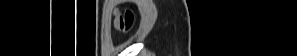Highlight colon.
Instances as JSON below:
<instances>
[{
    "instance_id": "5ec220e1",
    "label": "colon",
    "mask_w": 297,
    "mask_h": 56,
    "mask_svg": "<svg viewBox=\"0 0 297 56\" xmlns=\"http://www.w3.org/2000/svg\"><path fill=\"white\" fill-rule=\"evenodd\" d=\"M133 20V13L128 10L124 14L117 17L115 21L116 28L122 32H126L132 27Z\"/></svg>"
}]
</instances>
